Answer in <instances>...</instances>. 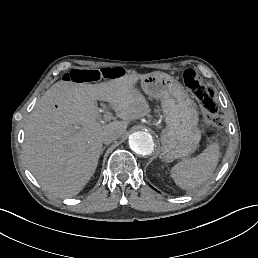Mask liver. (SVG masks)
I'll return each instance as SVG.
<instances>
[{
	"instance_id": "1",
	"label": "liver",
	"mask_w": 258,
	"mask_h": 258,
	"mask_svg": "<svg viewBox=\"0 0 258 258\" xmlns=\"http://www.w3.org/2000/svg\"><path fill=\"white\" fill-rule=\"evenodd\" d=\"M150 74L128 73L98 84L59 81L46 91L26 121L23 144L24 162L45 190L70 198L83 189L97 167L103 133L125 135L130 120L149 114L134 85ZM97 100L108 102L122 121L101 126Z\"/></svg>"
}]
</instances>
